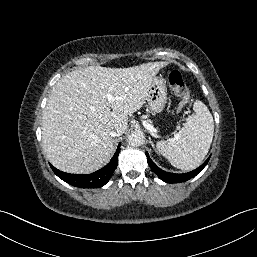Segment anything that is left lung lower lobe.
<instances>
[{"label":"left lung lower lobe","instance_id":"0a47b994","mask_svg":"<svg viewBox=\"0 0 257 257\" xmlns=\"http://www.w3.org/2000/svg\"><path fill=\"white\" fill-rule=\"evenodd\" d=\"M147 156V161L150 166V168L155 172V174L164 182L166 183H181L185 182L192 177L196 176L208 163L210 157L197 169L188 172V173H183V174H174V173H169L166 171L161 170L156 164L151 160L149 157L148 153L146 152Z\"/></svg>","mask_w":257,"mask_h":257}]
</instances>
